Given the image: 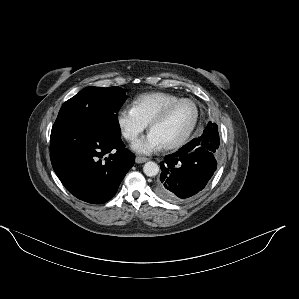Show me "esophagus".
<instances>
[{"label": "esophagus", "instance_id": "esophagus-1", "mask_svg": "<svg viewBox=\"0 0 299 299\" xmlns=\"http://www.w3.org/2000/svg\"><path fill=\"white\" fill-rule=\"evenodd\" d=\"M149 159L148 158H146V157H141V156H137L136 158H135V162L136 163H144V162H147Z\"/></svg>", "mask_w": 299, "mask_h": 299}]
</instances>
